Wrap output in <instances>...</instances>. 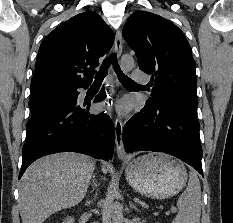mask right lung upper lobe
Returning <instances> with one entry per match:
<instances>
[{
    "instance_id": "1",
    "label": "right lung upper lobe",
    "mask_w": 233,
    "mask_h": 223,
    "mask_svg": "<svg viewBox=\"0 0 233 223\" xmlns=\"http://www.w3.org/2000/svg\"><path fill=\"white\" fill-rule=\"evenodd\" d=\"M113 41V31L95 12L80 13L61 24L40 45L31 80L32 95L89 86L99 58L109 51Z\"/></svg>"
}]
</instances>
